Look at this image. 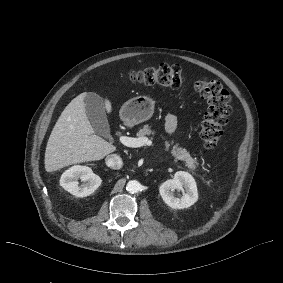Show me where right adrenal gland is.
Instances as JSON below:
<instances>
[{
	"instance_id": "obj_1",
	"label": "right adrenal gland",
	"mask_w": 283,
	"mask_h": 283,
	"mask_svg": "<svg viewBox=\"0 0 283 283\" xmlns=\"http://www.w3.org/2000/svg\"><path fill=\"white\" fill-rule=\"evenodd\" d=\"M102 167H103L104 170L109 171V169H108V168H105L104 165H102Z\"/></svg>"
}]
</instances>
